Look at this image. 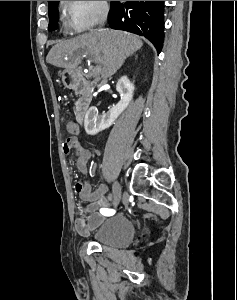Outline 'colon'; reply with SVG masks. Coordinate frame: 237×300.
Masks as SVG:
<instances>
[{
    "label": "colon",
    "mask_w": 237,
    "mask_h": 300,
    "mask_svg": "<svg viewBox=\"0 0 237 300\" xmlns=\"http://www.w3.org/2000/svg\"><path fill=\"white\" fill-rule=\"evenodd\" d=\"M64 149L67 151L74 150L80 152V145L78 141L74 138H67L64 142Z\"/></svg>",
    "instance_id": "5ec220e1"
}]
</instances>
